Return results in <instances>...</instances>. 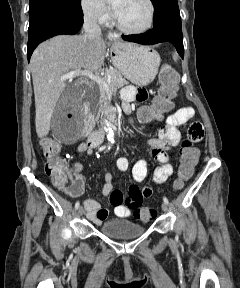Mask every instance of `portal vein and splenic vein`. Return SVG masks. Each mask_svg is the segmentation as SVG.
I'll return each mask as SVG.
<instances>
[{"label":"portal vein and splenic vein","mask_w":240,"mask_h":288,"mask_svg":"<svg viewBox=\"0 0 240 288\" xmlns=\"http://www.w3.org/2000/svg\"><path fill=\"white\" fill-rule=\"evenodd\" d=\"M79 76H86V77L90 78L92 81L96 82L98 85L102 86L104 89L109 90V87L105 83L103 78L99 77L98 75L93 74L92 72L82 71L81 69L70 71L69 73L62 75L60 80L64 81V80L73 79V78L79 77ZM108 82H110V81H108Z\"/></svg>","instance_id":"obj_1"}]
</instances>
